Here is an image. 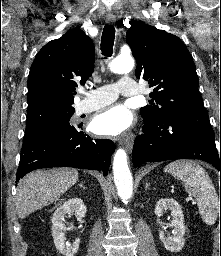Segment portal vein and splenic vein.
<instances>
[{
  "mask_svg": "<svg viewBox=\"0 0 221 256\" xmlns=\"http://www.w3.org/2000/svg\"><path fill=\"white\" fill-rule=\"evenodd\" d=\"M188 200H192V197H191V196H188Z\"/></svg>",
  "mask_w": 221,
  "mask_h": 256,
  "instance_id": "18ae733b",
  "label": "portal vein and splenic vein"
}]
</instances>
